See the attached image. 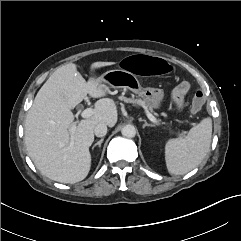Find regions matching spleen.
<instances>
[{"instance_id": "1", "label": "spleen", "mask_w": 241, "mask_h": 241, "mask_svg": "<svg viewBox=\"0 0 241 241\" xmlns=\"http://www.w3.org/2000/svg\"><path fill=\"white\" fill-rule=\"evenodd\" d=\"M212 137V120L203 119L192 127L187 136L169 139L165 144L168 172L183 175L197 167L207 155Z\"/></svg>"}]
</instances>
